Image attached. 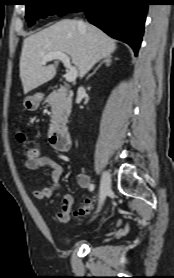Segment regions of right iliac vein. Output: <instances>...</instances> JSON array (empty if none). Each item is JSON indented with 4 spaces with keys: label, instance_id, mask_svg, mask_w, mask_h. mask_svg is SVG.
<instances>
[{
    "label": "right iliac vein",
    "instance_id": "63e3f726",
    "mask_svg": "<svg viewBox=\"0 0 174 278\" xmlns=\"http://www.w3.org/2000/svg\"><path fill=\"white\" fill-rule=\"evenodd\" d=\"M111 190V176L108 171H105L102 175L100 192H99V208L103 204L106 196Z\"/></svg>",
    "mask_w": 174,
    "mask_h": 278
}]
</instances>
